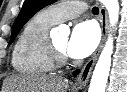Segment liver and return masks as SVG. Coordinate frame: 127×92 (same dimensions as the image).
Returning <instances> with one entry per match:
<instances>
[{"label":"liver","mask_w":127,"mask_h":92,"mask_svg":"<svg viewBox=\"0 0 127 92\" xmlns=\"http://www.w3.org/2000/svg\"><path fill=\"white\" fill-rule=\"evenodd\" d=\"M68 87L61 77L12 75L5 79L3 92H67Z\"/></svg>","instance_id":"liver-1"}]
</instances>
